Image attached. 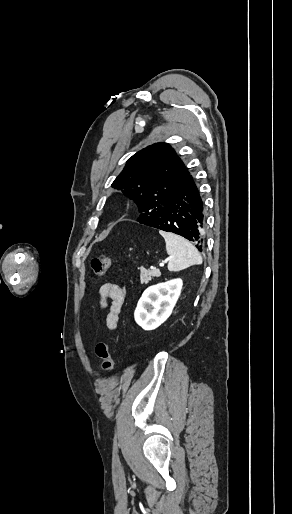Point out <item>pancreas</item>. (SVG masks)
<instances>
[{
  "mask_svg": "<svg viewBox=\"0 0 292 514\" xmlns=\"http://www.w3.org/2000/svg\"><path fill=\"white\" fill-rule=\"evenodd\" d=\"M140 270L141 284H148L149 280H152V278H159V276H161V272H158V270H145V268H140Z\"/></svg>",
  "mask_w": 292,
  "mask_h": 514,
  "instance_id": "cf45deb5",
  "label": "pancreas"
}]
</instances>
